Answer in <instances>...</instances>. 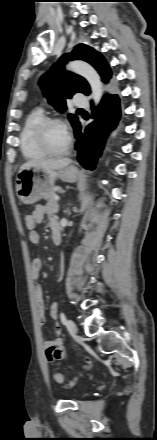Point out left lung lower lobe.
Returning <instances> with one entry per match:
<instances>
[{"instance_id": "0a47b994", "label": "left lung lower lobe", "mask_w": 157, "mask_h": 440, "mask_svg": "<svg viewBox=\"0 0 157 440\" xmlns=\"http://www.w3.org/2000/svg\"><path fill=\"white\" fill-rule=\"evenodd\" d=\"M121 116L118 95H105L93 111V118L85 129L81 124L74 128L77 160L85 168L92 170L101 155L109 134L116 128Z\"/></svg>"}]
</instances>
